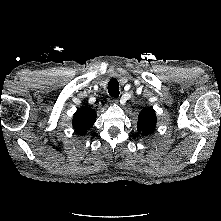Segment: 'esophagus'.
<instances>
[{"instance_id": "esophagus-1", "label": "esophagus", "mask_w": 221, "mask_h": 221, "mask_svg": "<svg viewBox=\"0 0 221 221\" xmlns=\"http://www.w3.org/2000/svg\"><path fill=\"white\" fill-rule=\"evenodd\" d=\"M111 102L112 103H117L118 101H117V99H113V100H111Z\"/></svg>"}]
</instances>
